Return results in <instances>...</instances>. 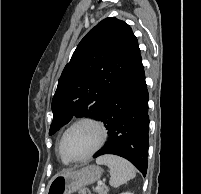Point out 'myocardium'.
I'll list each match as a JSON object with an SVG mask.
<instances>
[{
    "label": "myocardium",
    "mask_w": 201,
    "mask_h": 194,
    "mask_svg": "<svg viewBox=\"0 0 201 194\" xmlns=\"http://www.w3.org/2000/svg\"><path fill=\"white\" fill-rule=\"evenodd\" d=\"M83 124L91 125L97 130V132H98L97 144L86 155H84L80 158H69V157L65 156V154L63 153V150H62L64 138L71 129H73L76 126L83 125ZM106 138H107V130L102 121H100L96 118H93V117H82V118H79V119L75 120L74 122H72L63 131V133L60 137L59 143H58V152H59L61 158L68 163L83 162V161H86L89 158H91L94 154H96L102 148V146L104 145V143L106 141Z\"/></svg>",
    "instance_id": "1"
}]
</instances>
